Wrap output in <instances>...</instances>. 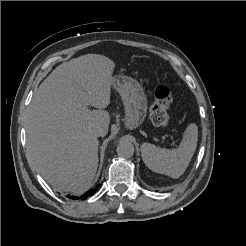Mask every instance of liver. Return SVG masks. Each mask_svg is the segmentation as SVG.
Returning <instances> with one entry per match:
<instances>
[{"mask_svg": "<svg viewBox=\"0 0 246 246\" xmlns=\"http://www.w3.org/2000/svg\"><path fill=\"white\" fill-rule=\"evenodd\" d=\"M114 68L103 55H83L56 67L34 92L25 121L27 153L57 191L80 195L93 183L99 146L93 131L107 134L110 116L104 109Z\"/></svg>", "mask_w": 246, "mask_h": 246, "instance_id": "1", "label": "liver"}]
</instances>
